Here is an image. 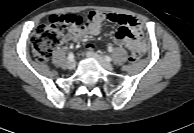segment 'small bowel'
Returning a JSON list of instances; mask_svg holds the SVG:
<instances>
[{
	"instance_id": "obj_1",
	"label": "small bowel",
	"mask_w": 194,
	"mask_h": 133,
	"mask_svg": "<svg viewBox=\"0 0 194 133\" xmlns=\"http://www.w3.org/2000/svg\"><path fill=\"white\" fill-rule=\"evenodd\" d=\"M104 22L120 24L114 37V44L125 46L131 52L138 50L141 54L146 51V43L141 22L130 15L93 11L88 15L87 21L75 32H70L64 37V41L73 40L79 42L88 35L96 36L101 32ZM108 50H113V45H108Z\"/></svg>"
}]
</instances>
